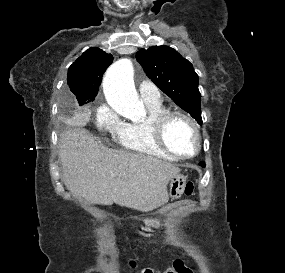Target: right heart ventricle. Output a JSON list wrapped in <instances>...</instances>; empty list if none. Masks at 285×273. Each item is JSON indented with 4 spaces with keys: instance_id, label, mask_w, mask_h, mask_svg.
<instances>
[{
    "instance_id": "obj_1",
    "label": "right heart ventricle",
    "mask_w": 285,
    "mask_h": 273,
    "mask_svg": "<svg viewBox=\"0 0 285 273\" xmlns=\"http://www.w3.org/2000/svg\"><path fill=\"white\" fill-rule=\"evenodd\" d=\"M148 115L141 121L125 122L116 134L117 142L125 149L141 154L165 159H176L166 152L156 141L152 123L154 118L164 112L166 107L162 101L145 102Z\"/></svg>"
}]
</instances>
